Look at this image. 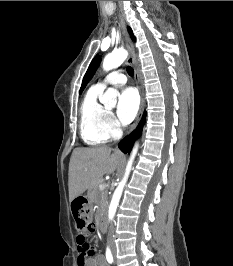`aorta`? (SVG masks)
I'll list each match as a JSON object with an SVG mask.
<instances>
[{"label": "aorta", "instance_id": "aorta-1", "mask_svg": "<svg viewBox=\"0 0 233 266\" xmlns=\"http://www.w3.org/2000/svg\"><path fill=\"white\" fill-rule=\"evenodd\" d=\"M127 56H128V52L124 49H118V50L113 51L111 54H108L104 58L103 69L105 71H110L112 69L119 67L126 60ZM116 98H117V92L113 88H108L107 91L104 93V95L100 98V102L105 105L115 106L117 102ZM137 150H138V144L135 145L132 151V154L128 161L123 179L119 182L116 190L113 193V196H112V199L109 205V210H108L109 221H112L115 216L116 209L118 207L124 186L130 174Z\"/></svg>", "mask_w": 233, "mask_h": 266}]
</instances>
